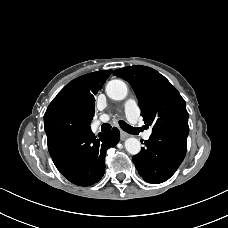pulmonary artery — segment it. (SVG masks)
Instances as JSON below:
<instances>
[{
	"instance_id": "e3ab8cb5",
	"label": "pulmonary artery",
	"mask_w": 228,
	"mask_h": 228,
	"mask_svg": "<svg viewBox=\"0 0 228 228\" xmlns=\"http://www.w3.org/2000/svg\"><path fill=\"white\" fill-rule=\"evenodd\" d=\"M125 113L128 118V120L136 124L139 120L140 116V109L138 107L137 102L134 99H128L125 104ZM109 118V115H103L102 120H106ZM152 131L149 129L146 132L143 133L142 137L144 140H148L151 137Z\"/></svg>"
}]
</instances>
